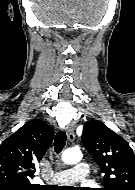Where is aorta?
I'll return each instance as SVG.
<instances>
[{"instance_id":"1","label":"aorta","mask_w":135,"mask_h":190,"mask_svg":"<svg viewBox=\"0 0 135 190\" xmlns=\"http://www.w3.org/2000/svg\"><path fill=\"white\" fill-rule=\"evenodd\" d=\"M61 158L66 164H76L81 161L82 153L78 149H67L62 153Z\"/></svg>"}]
</instances>
